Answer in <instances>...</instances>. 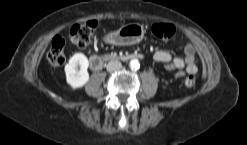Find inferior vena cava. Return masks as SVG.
Returning a JSON list of instances; mask_svg holds the SVG:
<instances>
[{"instance_id":"602c4592","label":"inferior vena cava","mask_w":247,"mask_h":145,"mask_svg":"<svg viewBox=\"0 0 247 145\" xmlns=\"http://www.w3.org/2000/svg\"><path fill=\"white\" fill-rule=\"evenodd\" d=\"M122 68L121 62L115 60V61H109L106 65V69L109 72L117 71Z\"/></svg>"}]
</instances>
